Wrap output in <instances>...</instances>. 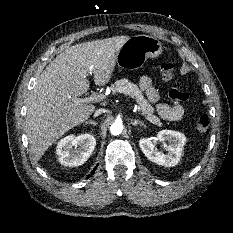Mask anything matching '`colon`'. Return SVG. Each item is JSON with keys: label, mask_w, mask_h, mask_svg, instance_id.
Here are the masks:
<instances>
[{"label": "colon", "mask_w": 233, "mask_h": 233, "mask_svg": "<svg viewBox=\"0 0 233 233\" xmlns=\"http://www.w3.org/2000/svg\"><path fill=\"white\" fill-rule=\"evenodd\" d=\"M162 78L167 81H173L175 78L174 66L171 63H164L160 67ZM168 98L174 103H180L188 98V95L180 88L174 87L168 91ZM197 129L201 133H208L210 129L209 117L201 114L197 119Z\"/></svg>", "instance_id": "5ec220e1"}]
</instances>
